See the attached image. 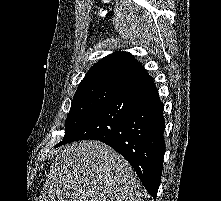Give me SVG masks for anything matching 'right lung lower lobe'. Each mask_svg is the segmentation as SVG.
Masks as SVG:
<instances>
[{"label":"right lung lower lobe","instance_id":"obj_1","mask_svg":"<svg viewBox=\"0 0 221 201\" xmlns=\"http://www.w3.org/2000/svg\"><path fill=\"white\" fill-rule=\"evenodd\" d=\"M164 106L153 79L144 74L119 89L66 141L99 140L120 153L155 199L162 175Z\"/></svg>","mask_w":221,"mask_h":201}]
</instances>
